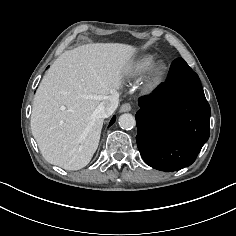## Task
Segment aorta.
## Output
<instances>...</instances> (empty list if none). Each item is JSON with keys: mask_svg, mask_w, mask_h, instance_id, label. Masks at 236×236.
Listing matches in <instances>:
<instances>
[{"mask_svg": "<svg viewBox=\"0 0 236 236\" xmlns=\"http://www.w3.org/2000/svg\"><path fill=\"white\" fill-rule=\"evenodd\" d=\"M119 126L122 129L130 130L135 127L136 121L135 117L132 114L125 113L119 117Z\"/></svg>", "mask_w": 236, "mask_h": 236, "instance_id": "aorta-1", "label": "aorta"}]
</instances>
